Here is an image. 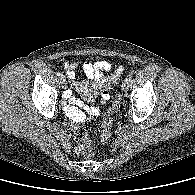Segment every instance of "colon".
<instances>
[{
  "instance_id": "colon-1",
  "label": "colon",
  "mask_w": 195,
  "mask_h": 195,
  "mask_svg": "<svg viewBox=\"0 0 195 195\" xmlns=\"http://www.w3.org/2000/svg\"><path fill=\"white\" fill-rule=\"evenodd\" d=\"M119 106H120V95L116 93L112 105L108 110L107 114L105 115L101 125L100 139L102 142L107 141L110 136V130L112 125V114L118 110ZM73 135L77 141L83 143L77 147V152L80 155L86 157H90L94 155V144L93 142L88 140L87 132L83 127L74 125Z\"/></svg>"
}]
</instances>
